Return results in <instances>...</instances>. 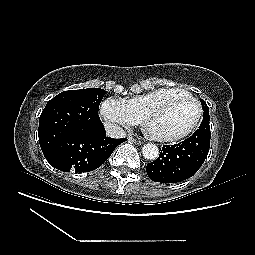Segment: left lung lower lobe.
Segmentation results:
<instances>
[{"instance_id": "obj_1", "label": "left lung lower lobe", "mask_w": 255, "mask_h": 255, "mask_svg": "<svg viewBox=\"0 0 255 255\" xmlns=\"http://www.w3.org/2000/svg\"><path fill=\"white\" fill-rule=\"evenodd\" d=\"M209 120L188 139L174 145H164L157 160L148 163L147 174L152 181L177 183L192 177L205 161L210 147Z\"/></svg>"}]
</instances>
